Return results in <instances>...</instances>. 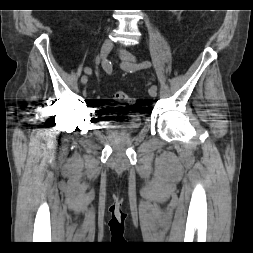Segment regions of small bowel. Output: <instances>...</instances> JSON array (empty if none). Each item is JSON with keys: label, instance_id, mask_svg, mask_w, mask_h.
Returning <instances> with one entry per match:
<instances>
[{"label": "small bowel", "instance_id": "1", "mask_svg": "<svg viewBox=\"0 0 253 253\" xmlns=\"http://www.w3.org/2000/svg\"><path fill=\"white\" fill-rule=\"evenodd\" d=\"M86 72H89V73H90V70L86 69Z\"/></svg>", "mask_w": 253, "mask_h": 253}]
</instances>
